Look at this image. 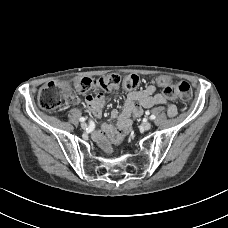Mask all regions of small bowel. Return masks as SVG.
Wrapping results in <instances>:
<instances>
[{
    "instance_id": "obj_1",
    "label": "small bowel",
    "mask_w": 228,
    "mask_h": 228,
    "mask_svg": "<svg viewBox=\"0 0 228 228\" xmlns=\"http://www.w3.org/2000/svg\"><path fill=\"white\" fill-rule=\"evenodd\" d=\"M85 104L95 118H101L106 96L103 93L96 96L88 95L85 98ZM155 105H165L169 116L177 114L175 105L170 103L166 96L157 93L153 85L129 92L122 111L112 110L108 121L95 131L96 140L105 147L119 143L128 133L132 118L141 116L144 108H151ZM112 121H115V124Z\"/></svg>"
}]
</instances>
